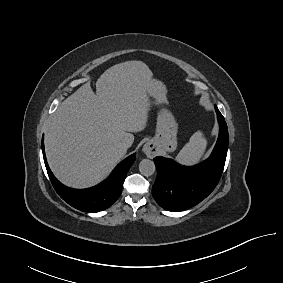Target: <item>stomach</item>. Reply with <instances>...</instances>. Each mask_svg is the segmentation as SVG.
Instances as JSON below:
<instances>
[{
	"mask_svg": "<svg viewBox=\"0 0 283 283\" xmlns=\"http://www.w3.org/2000/svg\"><path fill=\"white\" fill-rule=\"evenodd\" d=\"M159 87L158 92L149 91V95L155 99L162 98L166 102L167 89L160 82ZM177 132L178 123L173 114L168 109L162 108L158 113L156 134L149 141V144L154 145L160 151L173 152L177 148Z\"/></svg>",
	"mask_w": 283,
	"mask_h": 283,
	"instance_id": "1",
	"label": "stomach"
}]
</instances>
